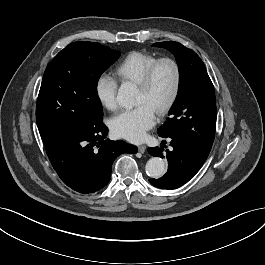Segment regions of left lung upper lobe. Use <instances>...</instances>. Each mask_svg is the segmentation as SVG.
Wrapping results in <instances>:
<instances>
[{
  "mask_svg": "<svg viewBox=\"0 0 265 265\" xmlns=\"http://www.w3.org/2000/svg\"><path fill=\"white\" fill-rule=\"evenodd\" d=\"M153 46L171 51L179 67L178 95L158 135L185 141L207 157L215 135L216 101L204 63L194 51L178 42H159Z\"/></svg>",
  "mask_w": 265,
  "mask_h": 265,
  "instance_id": "1",
  "label": "left lung upper lobe"
}]
</instances>
